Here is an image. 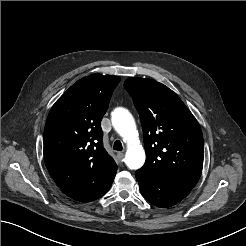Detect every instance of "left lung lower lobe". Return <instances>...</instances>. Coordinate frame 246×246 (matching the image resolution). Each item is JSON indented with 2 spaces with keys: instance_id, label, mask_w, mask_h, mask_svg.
Returning <instances> with one entry per match:
<instances>
[{
  "instance_id": "0a47b994",
  "label": "left lung lower lobe",
  "mask_w": 246,
  "mask_h": 246,
  "mask_svg": "<svg viewBox=\"0 0 246 246\" xmlns=\"http://www.w3.org/2000/svg\"><path fill=\"white\" fill-rule=\"evenodd\" d=\"M140 191L151 204L165 208L177 204L192 190V187L160 179L136 171Z\"/></svg>"
}]
</instances>
